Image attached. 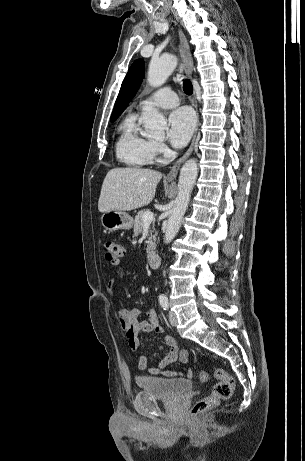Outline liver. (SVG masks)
Instances as JSON below:
<instances>
[{
    "label": "liver",
    "mask_w": 305,
    "mask_h": 461,
    "mask_svg": "<svg viewBox=\"0 0 305 461\" xmlns=\"http://www.w3.org/2000/svg\"><path fill=\"white\" fill-rule=\"evenodd\" d=\"M162 174L151 169L114 168L103 181L98 210L130 211L148 205Z\"/></svg>",
    "instance_id": "liver-1"
}]
</instances>
